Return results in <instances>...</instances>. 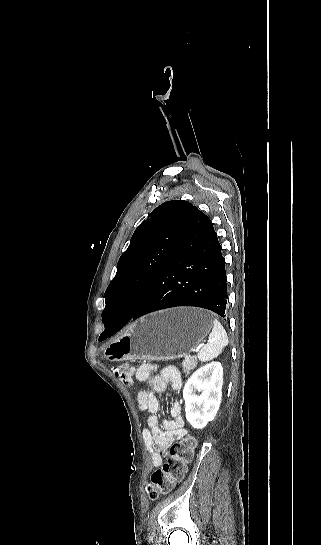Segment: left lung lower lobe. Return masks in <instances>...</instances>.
<instances>
[{
	"label": "left lung lower lobe",
	"mask_w": 321,
	"mask_h": 545,
	"mask_svg": "<svg viewBox=\"0 0 321 545\" xmlns=\"http://www.w3.org/2000/svg\"><path fill=\"white\" fill-rule=\"evenodd\" d=\"M225 259L210 219L195 208L170 257L136 309L113 310L104 322L108 336L131 319L161 309L195 306L225 317Z\"/></svg>",
	"instance_id": "0a47b994"
}]
</instances>
